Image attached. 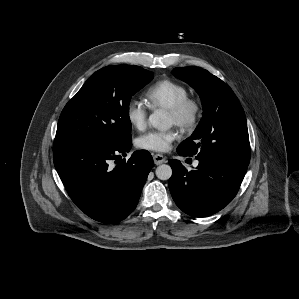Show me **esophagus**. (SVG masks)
<instances>
[{
	"mask_svg": "<svg viewBox=\"0 0 299 299\" xmlns=\"http://www.w3.org/2000/svg\"><path fill=\"white\" fill-rule=\"evenodd\" d=\"M153 160H154V163L156 165H160V164L166 162V158L163 155H161V154H155V155H153Z\"/></svg>",
	"mask_w": 299,
	"mask_h": 299,
	"instance_id": "esophagus-1",
	"label": "esophagus"
}]
</instances>
